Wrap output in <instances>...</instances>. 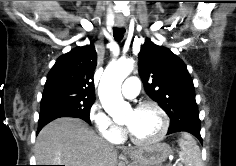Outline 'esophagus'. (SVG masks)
<instances>
[{"label": "esophagus", "instance_id": "obj_1", "mask_svg": "<svg viewBox=\"0 0 236 166\" xmlns=\"http://www.w3.org/2000/svg\"><path fill=\"white\" fill-rule=\"evenodd\" d=\"M116 26H118V27H123L124 26V22H122V21H118V22H116Z\"/></svg>", "mask_w": 236, "mask_h": 166}]
</instances>
